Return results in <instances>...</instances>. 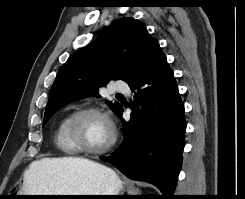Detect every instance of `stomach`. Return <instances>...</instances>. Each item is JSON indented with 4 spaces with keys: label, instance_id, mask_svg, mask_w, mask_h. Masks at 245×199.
<instances>
[{
    "label": "stomach",
    "instance_id": "obj_1",
    "mask_svg": "<svg viewBox=\"0 0 245 199\" xmlns=\"http://www.w3.org/2000/svg\"><path fill=\"white\" fill-rule=\"evenodd\" d=\"M124 182L110 168L101 164L90 167H78L64 174H53L47 177L46 191L40 194H29L31 191L24 185L13 191L14 195H119ZM19 198H23L20 196ZM98 197H41L40 199H78Z\"/></svg>",
    "mask_w": 245,
    "mask_h": 199
}]
</instances>
